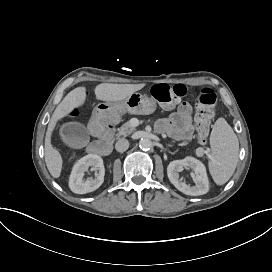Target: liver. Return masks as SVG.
Returning <instances> with one entry per match:
<instances>
[{
    "mask_svg": "<svg viewBox=\"0 0 272 272\" xmlns=\"http://www.w3.org/2000/svg\"><path fill=\"white\" fill-rule=\"evenodd\" d=\"M147 84H116L101 83L95 87L96 99L107 103L124 101L131 94L140 91ZM87 101V87L79 86L70 91L54 110L47 127L45 136V163L49 173L59 178L62 172L63 158L60 151L53 147L52 137L59 120L69 116L75 109L85 106Z\"/></svg>",
    "mask_w": 272,
    "mask_h": 272,
    "instance_id": "6515ba94",
    "label": "liver"
}]
</instances>
